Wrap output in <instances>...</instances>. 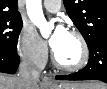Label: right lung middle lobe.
Segmentation results:
<instances>
[{
    "instance_id": "obj_1",
    "label": "right lung middle lobe",
    "mask_w": 107,
    "mask_h": 89,
    "mask_svg": "<svg viewBox=\"0 0 107 89\" xmlns=\"http://www.w3.org/2000/svg\"><path fill=\"white\" fill-rule=\"evenodd\" d=\"M22 29L21 17L0 16V50L17 53V41Z\"/></svg>"
}]
</instances>
